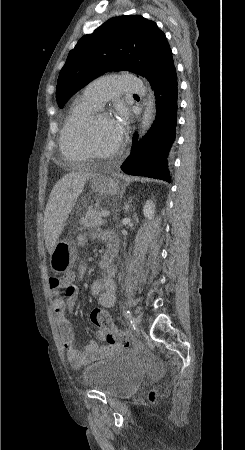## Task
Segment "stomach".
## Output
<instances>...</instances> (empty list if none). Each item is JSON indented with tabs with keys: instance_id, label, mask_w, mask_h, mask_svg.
Instances as JSON below:
<instances>
[{
	"instance_id": "1",
	"label": "stomach",
	"mask_w": 245,
	"mask_h": 450,
	"mask_svg": "<svg viewBox=\"0 0 245 450\" xmlns=\"http://www.w3.org/2000/svg\"><path fill=\"white\" fill-rule=\"evenodd\" d=\"M91 188L105 195H116L119 192V178L99 174L91 178ZM76 261V250L68 240H59L50 256L51 269L56 273L70 270Z\"/></svg>"
}]
</instances>
